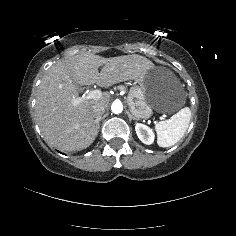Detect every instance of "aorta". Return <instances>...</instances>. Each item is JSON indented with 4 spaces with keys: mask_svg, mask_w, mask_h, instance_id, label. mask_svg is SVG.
<instances>
[{
    "mask_svg": "<svg viewBox=\"0 0 236 236\" xmlns=\"http://www.w3.org/2000/svg\"><path fill=\"white\" fill-rule=\"evenodd\" d=\"M111 110L113 113H121L123 110V105L120 101H114L111 105Z\"/></svg>",
    "mask_w": 236,
    "mask_h": 236,
    "instance_id": "1",
    "label": "aorta"
}]
</instances>
